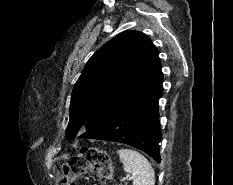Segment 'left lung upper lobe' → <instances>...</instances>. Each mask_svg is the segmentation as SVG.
<instances>
[{
    "label": "left lung upper lobe",
    "instance_id": "left-lung-upper-lobe-1",
    "mask_svg": "<svg viewBox=\"0 0 233 185\" xmlns=\"http://www.w3.org/2000/svg\"><path fill=\"white\" fill-rule=\"evenodd\" d=\"M160 62L145 34L125 31L109 40L87 62L74 85L66 136L73 139L101 123L117 100Z\"/></svg>",
    "mask_w": 233,
    "mask_h": 185
}]
</instances>
